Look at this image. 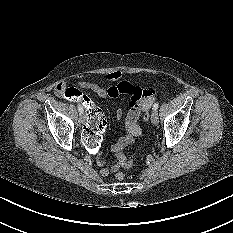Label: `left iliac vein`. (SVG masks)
<instances>
[{"mask_svg": "<svg viewBox=\"0 0 233 233\" xmlns=\"http://www.w3.org/2000/svg\"><path fill=\"white\" fill-rule=\"evenodd\" d=\"M151 122L154 125H157L159 123L158 113L154 110L152 111V114H151Z\"/></svg>", "mask_w": 233, "mask_h": 233, "instance_id": "4c4485c4", "label": "left iliac vein"}]
</instances>
